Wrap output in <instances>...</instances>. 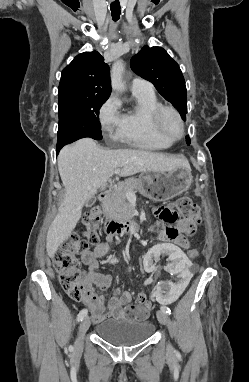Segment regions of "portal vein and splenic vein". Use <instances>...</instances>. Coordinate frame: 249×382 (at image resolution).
Returning a JSON list of instances; mask_svg holds the SVG:
<instances>
[{"instance_id": "obj_1", "label": "portal vein and splenic vein", "mask_w": 249, "mask_h": 382, "mask_svg": "<svg viewBox=\"0 0 249 382\" xmlns=\"http://www.w3.org/2000/svg\"><path fill=\"white\" fill-rule=\"evenodd\" d=\"M119 172H120V169H115L114 171L115 174H119Z\"/></svg>"}]
</instances>
